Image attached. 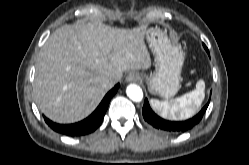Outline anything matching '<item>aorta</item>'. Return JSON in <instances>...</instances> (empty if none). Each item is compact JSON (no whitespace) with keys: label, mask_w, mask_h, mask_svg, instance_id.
<instances>
[{"label":"aorta","mask_w":249,"mask_h":165,"mask_svg":"<svg viewBox=\"0 0 249 165\" xmlns=\"http://www.w3.org/2000/svg\"><path fill=\"white\" fill-rule=\"evenodd\" d=\"M126 94L131 100L135 102H140L143 99V91L136 84L128 85L126 88Z\"/></svg>","instance_id":"762f6f07"}]
</instances>
